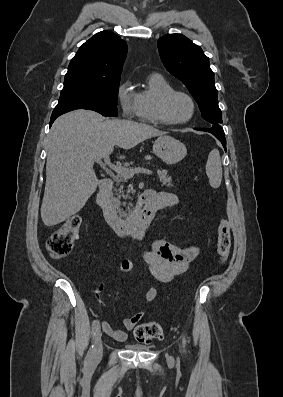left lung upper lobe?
<instances>
[{
	"label": "left lung upper lobe",
	"mask_w": 283,
	"mask_h": 397,
	"mask_svg": "<svg viewBox=\"0 0 283 397\" xmlns=\"http://www.w3.org/2000/svg\"><path fill=\"white\" fill-rule=\"evenodd\" d=\"M158 50L166 69L188 88L198 103L202 117L213 131L224 134L222 112L209 58L200 46L181 34H167L158 40Z\"/></svg>",
	"instance_id": "left-lung-upper-lobe-1"
}]
</instances>
